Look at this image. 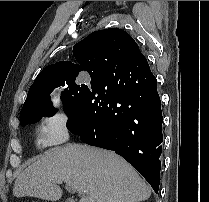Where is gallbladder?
<instances>
[{
	"label": "gallbladder",
	"instance_id": "bac80fb5",
	"mask_svg": "<svg viewBox=\"0 0 209 202\" xmlns=\"http://www.w3.org/2000/svg\"><path fill=\"white\" fill-rule=\"evenodd\" d=\"M67 202H75V201H73L72 199H68Z\"/></svg>",
	"mask_w": 209,
	"mask_h": 202
}]
</instances>
